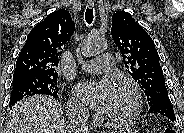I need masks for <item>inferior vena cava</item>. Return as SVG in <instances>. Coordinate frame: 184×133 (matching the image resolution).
<instances>
[{
	"mask_svg": "<svg viewBox=\"0 0 184 133\" xmlns=\"http://www.w3.org/2000/svg\"><path fill=\"white\" fill-rule=\"evenodd\" d=\"M70 130L72 133H88V110L83 106H74L69 109Z\"/></svg>",
	"mask_w": 184,
	"mask_h": 133,
	"instance_id": "602c4592",
	"label": "inferior vena cava"
}]
</instances>
